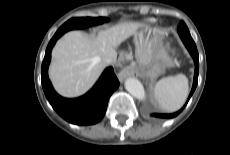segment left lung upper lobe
Returning a JSON list of instances; mask_svg holds the SVG:
<instances>
[{"label": "left lung upper lobe", "instance_id": "1", "mask_svg": "<svg viewBox=\"0 0 230 155\" xmlns=\"http://www.w3.org/2000/svg\"><path fill=\"white\" fill-rule=\"evenodd\" d=\"M178 33H179V36L182 39V41L184 40V38L189 39V40H193L186 24L183 21H181L179 26H178Z\"/></svg>", "mask_w": 230, "mask_h": 155}]
</instances>
